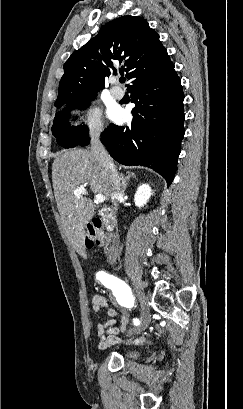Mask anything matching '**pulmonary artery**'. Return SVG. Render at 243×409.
Masks as SVG:
<instances>
[{"label":"pulmonary artery","instance_id":"pulmonary-artery-1","mask_svg":"<svg viewBox=\"0 0 243 409\" xmlns=\"http://www.w3.org/2000/svg\"><path fill=\"white\" fill-rule=\"evenodd\" d=\"M110 92L115 99H121L124 96V91L118 86H113Z\"/></svg>","mask_w":243,"mask_h":409}]
</instances>
